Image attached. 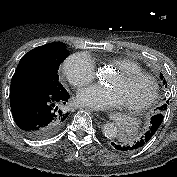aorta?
Returning <instances> with one entry per match:
<instances>
[{
  "label": "aorta",
  "mask_w": 177,
  "mask_h": 177,
  "mask_svg": "<svg viewBox=\"0 0 177 177\" xmlns=\"http://www.w3.org/2000/svg\"><path fill=\"white\" fill-rule=\"evenodd\" d=\"M98 75L101 79L107 77V74L104 71H101ZM102 131L106 138L114 139L117 136L118 128L115 124L110 122L103 125Z\"/></svg>",
  "instance_id": "762f6f07"
}]
</instances>
